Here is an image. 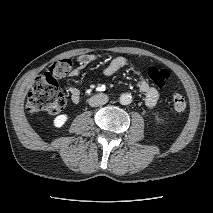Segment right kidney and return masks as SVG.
I'll list each match as a JSON object with an SVG mask.
<instances>
[{
  "label": "right kidney",
  "instance_id": "obj_1",
  "mask_svg": "<svg viewBox=\"0 0 213 213\" xmlns=\"http://www.w3.org/2000/svg\"><path fill=\"white\" fill-rule=\"evenodd\" d=\"M68 119L66 114H61L54 119V126L57 128L62 127Z\"/></svg>",
  "mask_w": 213,
  "mask_h": 213
}]
</instances>
